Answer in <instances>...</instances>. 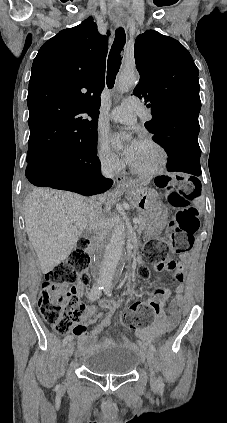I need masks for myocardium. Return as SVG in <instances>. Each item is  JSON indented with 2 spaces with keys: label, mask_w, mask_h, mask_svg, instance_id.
Instances as JSON below:
<instances>
[{
  "label": "myocardium",
  "mask_w": 227,
  "mask_h": 423,
  "mask_svg": "<svg viewBox=\"0 0 227 423\" xmlns=\"http://www.w3.org/2000/svg\"><path fill=\"white\" fill-rule=\"evenodd\" d=\"M142 143L150 144L154 146L155 148H157V150L160 153L159 163L154 168L147 171L139 170L131 164L130 165L131 171L134 174L141 177H145V178H152L162 174L167 169V166L169 163V153L167 148L165 147L163 143H161L159 140H157L154 137H146L142 140Z\"/></svg>",
  "instance_id": "obj_1"
}]
</instances>
